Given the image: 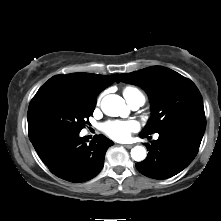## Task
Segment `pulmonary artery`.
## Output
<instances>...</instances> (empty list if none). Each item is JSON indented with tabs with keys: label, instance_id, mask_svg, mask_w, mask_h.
Masks as SVG:
<instances>
[{
	"label": "pulmonary artery",
	"instance_id": "pulmonary-artery-1",
	"mask_svg": "<svg viewBox=\"0 0 221 221\" xmlns=\"http://www.w3.org/2000/svg\"><path fill=\"white\" fill-rule=\"evenodd\" d=\"M127 102L133 110H137L140 106L144 104V99L142 97H135L131 100H127Z\"/></svg>",
	"mask_w": 221,
	"mask_h": 221
}]
</instances>
